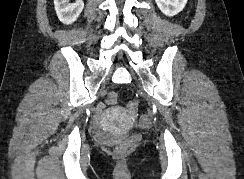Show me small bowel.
Masks as SVG:
<instances>
[{
	"label": "small bowel",
	"mask_w": 244,
	"mask_h": 179,
	"mask_svg": "<svg viewBox=\"0 0 244 179\" xmlns=\"http://www.w3.org/2000/svg\"><path fill=\"white\" fill-rule=\"evenodd\" d=\"M142 124H143V126H150L151 123H150V121H143Z\"/></svg>",
	"instance_id": "obj_1"
}]
</instances>
